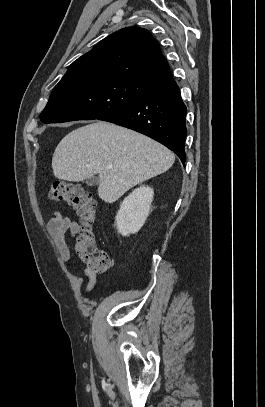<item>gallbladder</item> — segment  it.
I'll use <instances>...</instances> for the list:
<instances>
[{"label":"gallbladder","instance_id":"1","mask_svg":"<svg viewBox=\"0 0 265 407\" xmlns=\"http://www.w3.org/2000/svg\"><path fill=\"white\" fill-rule=\"evenodd\" d=\"M99 179L97 177H91L86 180V184L88 186H95L98 185Z\"/></svg>","mask_w":265,"mask_h":407}]
</instances>
